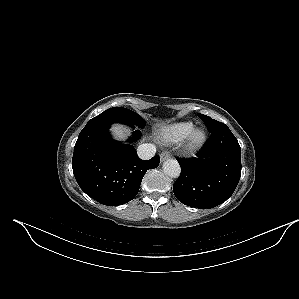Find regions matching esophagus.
Returning <instances> with one entry per match:
<instances>
[{
	"instance_id": "34e87169",
	"label": "esophagus",
	"mask_w": 299,
	"mask_h": 299,
	"mask_svg": "<svg viewBox=\"0 0 299 299\" xmlns=\"http://www.w3.org/2000/svg\"><path fill=\"white\" fill-rule=\"evenodd\" d=\"M170 157H171V155H170V153H168V152H162V153L160 154V159H161V161H165V160L169 159Z\"/></svg>"
}]
</instances>
